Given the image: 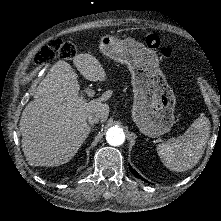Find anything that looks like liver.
Returning a JSON list of instances; mask_svg holds the SVG:
<instances>
[{"label": "liver", "instance_id": "1", "mask_svg": "<svg viewBox=\"0 0 221 221\" xmlns=\"http://www.w3.org/2000/svg\"><path fill=\"white\" fill-rule=\"evenodd\" d=\"M74 64L88 80L105 77L94 57L79 55ZM80 87L79 75L63 60L57 61L36 87L19 122L21 146L30 166H56L69 161L88 136L87 116L95 112L101 114V122L107 120L108 104L79 98Z\"/></svg>", "mask_w": 221, "mask_h": 221}]
</instances>
